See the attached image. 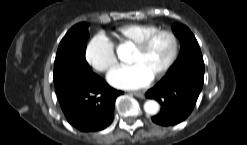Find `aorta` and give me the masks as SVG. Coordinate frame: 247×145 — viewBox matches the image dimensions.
<instances>
[{"mask_svg":"<svg viewBox=\"0 0 247 145\" xmlns=\"http://www.w3.org/2000/svg\"><path fill=\"white\" fill-rule=\"evenodd\" d=\"M144 110L147 114L155 115L159 111V104L155 100H148L144 104Z\"/></svg>","mask_w":247,"mask_h":145,"instance_id":"762f6f07","label":"aorta"}]
</instances>
